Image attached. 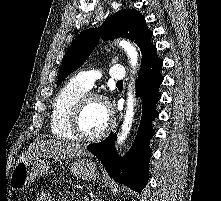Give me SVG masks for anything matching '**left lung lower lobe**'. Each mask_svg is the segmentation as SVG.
<instances>
[{
  "label": "left lung lower lobe",
  "instance_id": "0a47b994",
  "mask_svg": "<svg viewBox=\"0 0 221 201\" xmlns=\"http://www.w3.org/2000/svg\"><path fill=\"white\" fill-rule=\"evenodd\" d=\"M162 65L163 60L155 57L139 72L136 95L142 99V117L128 154L122 158L118 157L114 148L116 134L109 135L100 143L87 146L114 180L137 192L143 190L149 179L148 163L152 155L149 142L155 134L151 123L158 117L155 104L161 98L158 88L163 81L160 73Z\"/></svg>",
  "mask_w": 221,
  "mask_h": 201
}]
</instances>
